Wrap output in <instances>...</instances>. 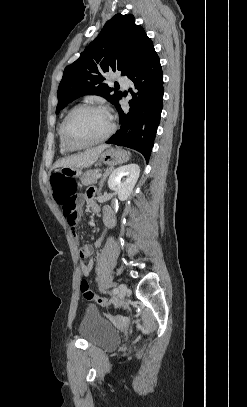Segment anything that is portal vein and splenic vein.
<instances>
[{
    "instance_id": "18ae733b",
    "label": "portal vein and splenic vein",
    "mask_w": 247,
    "mask_h": 407,
    "mask_svg": "<svg viewBox=\"0 0 247 407\" xmlns=\"http://www.w3.org/2000/svg\"><path fill=\"white\" fill-rule=\"evenodd\" d=\"M101 175H102L101 173H98L97 176H96V178H97V179L100 178Z\"/></svg>"
}]
</instances>
